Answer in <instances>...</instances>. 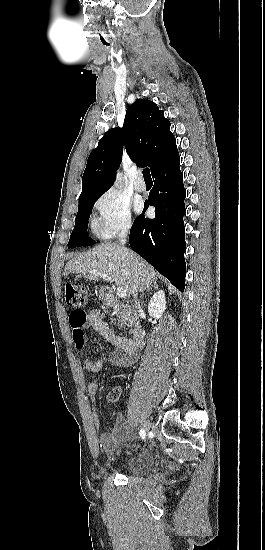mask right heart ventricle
<instances>
[{
    "label": "right heart ventricle",
    "mask_w": 265,
    "mask_h": 550,
    "mask_svg": "<svg viewBox=\"0 0 265 550\" xmlns=\"http://www.w3.org/2000/svg\"><path fill=\"white\" fill-rule=\"evenodd\" d=\"M93 228L96 232H99L98 231V224L96 222H93Z\"/></svg>",
    "instance_id": "right-heart-ventricle-1"
}]
</instances>
